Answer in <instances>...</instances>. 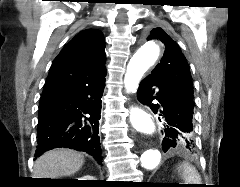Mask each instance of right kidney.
I'll return each instance as SVG.
<instances>
[{
    "mask_svg": "<svg viewBox=\"0 0 240 187\" xmlns=\"http://www.w3.org/2000/svg\"><path fill=\"white\" fill-rule=\"evenodd\" d=\"M78 180H95V178L93 176L86 175L83 176L82 178H78Z\"/></svg>",
    "mask_w": 240,
    "mask_h": 187,
    "instance_id": "1",
    "label": "right kidney"
}]
</instances>
